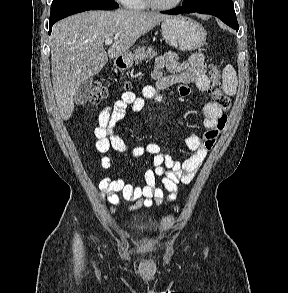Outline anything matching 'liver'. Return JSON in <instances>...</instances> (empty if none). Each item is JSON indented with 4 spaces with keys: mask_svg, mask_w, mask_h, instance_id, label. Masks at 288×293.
I'll return each instance as SVG.
<instances>
[{
    "mask_svg": "<svg viewBox=\"0 0 288 293\" xmlns=\"http://www.w3.org/2000/svg\"><path fill=\"white\" fill-rule=\"evenodd\" d=\"M169 16L127 9L86 11L58 21L52 30L51 68L55 99L63 120L74 110L80 84L108 62L125 55L138 38ZM107 38L114 43L108 53Z\"/></svg>",
    "mask_w": 288,
    "mask_h": 293,
    "instance_id": "liver-1",
    "label": "liver"
}]
</instances>
